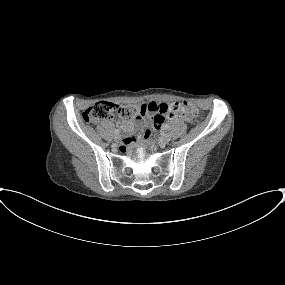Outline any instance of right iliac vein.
I'll use <instances>...</instances> for the list:
<instances>
[{"label":"right iliac vein","mask_w":285,"mask_h":285,"mask_svg":"<svg viewBox=\"0 0 285 285\" xmlns=\"http://www.w3.org/2000/svg\"><path fill=\"white\" fill-rule=\"evenodd\" d=\"M114 139H115V141H120L122 138H121V135L116 134V135L114 136Z\"/></svg>","instance_id":"obj_1"}]
</instances>
